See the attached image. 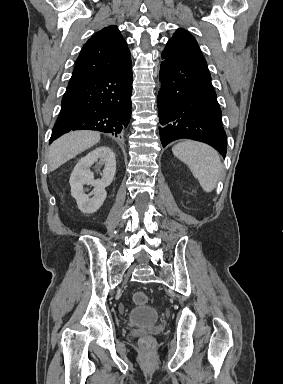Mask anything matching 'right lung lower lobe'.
Listing matches in <instances>:
<instances>
[{
  "label": "right lung lower lobe",
  "instance_id": "1",
  "mask_svg": "<svg viewBox=\"0 0 283 384\" xmlns=\"http://www.w3.org/2000/svg\"><path fill=\"white\" fill-rule=\"evenodd\" d=\"M132 64L67 86L50 143L72 130H98L116 137L131 117Z\"/></svg>",
  "mask_w": 283,
  "mask_h": 384
}]
</instances>
